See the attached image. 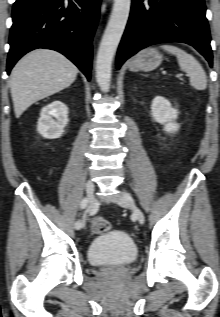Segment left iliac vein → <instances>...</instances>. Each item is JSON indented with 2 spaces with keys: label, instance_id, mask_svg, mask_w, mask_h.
<instances>
[{
  "label": "left iliac vein",
  "instance_id": "left-iliac-vein-1",
  "mask_svg": "<svg viewBox=\"0 0 220 317\" xmlns=\"http://www.w3.org/2000/svg\"><path fill=\"white\" fill-rule=\"evenodd\" d=\"M116 202L121 207L130 208L133 210V213L140 224H144L145 216L143 212L135 205L132 197L126 193H122L118 198H116Z\"/></svg>",
  "mask_w": 220,
  "mask_h": 317
}]
</instances>
